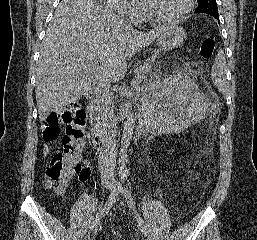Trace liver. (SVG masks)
Returning <instances> with one entry per match:
<instances>
[{
  "label": "liver",
  "instance_id": "obj_1",
  "mask_svg": "<svg viewBox=\"0 0 257 240\" xmlns=\"http://www.w3.org/2000/svg\"><path fill=\"white\" fill-rule=\"evenodd\" d=\"M164 27L142 33L103 0H62L40 49L35 88L40 118L84 96L93 75L106 82L122 79L127 59L155 41ZM87 65H97L98 71H86Z\"/></svg>",
  "mask_w": 257,
  "mask_h": 240
}]
</instances>
